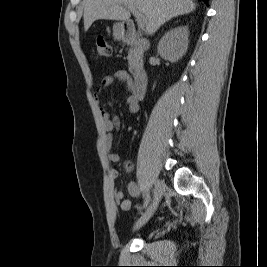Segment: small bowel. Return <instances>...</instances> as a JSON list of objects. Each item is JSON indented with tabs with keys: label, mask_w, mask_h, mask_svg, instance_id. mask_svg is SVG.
<instances>
[{
	"label": "small bowel",
	"mask_w": 267,
	"mask_h": 267,
	"mask_svg": "<svg viewBox=\"0 0 267 267\" xmlns=\"http://www.w3.org/2000/svg\"><path fill=\"white\" fill-rule=\"evenodd\" d=\"M116 82L125 83L127 87L130 90H132L133 82L130 75L124 70H119L115 72L113 75L106 76L101 80L97 88L95 97L98 99L100 93L104 88L110 87ZM111 106H112L111 103H107L103 105V107H101L102 128L104 131L103 148L107 153L109 161L116 163L120 161V157L113 150L114 149L113 131L120 127V121L117 116H115L108 110ZM125 106L129 113L131 114L137 113L139 110L138 99L135 98L133 94L127 96L125 100ZM126 168L127 170H130L132 168L131 164L127 163ZM109 175L111 179H116L119 176V172L118 170L111 168L109 171ZM127 190L130 196L132 197L137 198L140 196V188L135 181L128 182ZM113 198L114 201L117 204H119L121 208L125 211H129L133 208H136V206H134L130 200L124 199V192L121 190H114Z\"/></svg>",
	"instance_id": "c3829d8e"
}]
</instances>
